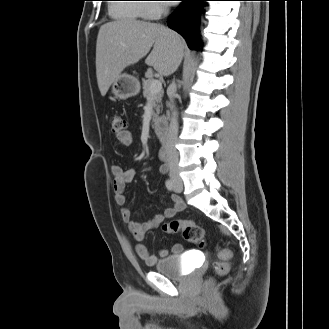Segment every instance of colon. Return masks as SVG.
<instances>
[{
  "label": "colon",
  "mask_w": 329,
  "mask_h": 329,
  "mask_svg": "<svg viewBox=\"0 0 329 329\" xmlns=\"http://www.w3.org/2000/svg\"><path fill=\"white\" fill-rule=\"evenodd\" d=\"M126 121L117 114L111 116V133L119 135L125 132ZM162 229L169 234L181 232L183 238L189 242L203 245L205 243V233L201 226L193 221L173 219L163 224ZM230 251L220 248L217 251V260L214 262L216 275L224 276L230 270Z\"/></svg>",
  "instance_id": "obj_1"
}]
</instances>
